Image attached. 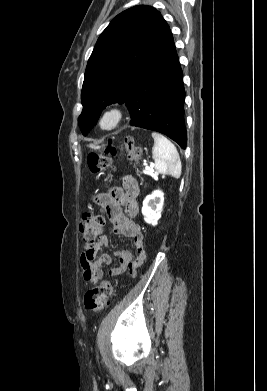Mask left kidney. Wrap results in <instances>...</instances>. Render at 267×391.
<instances>
[{"instance_id": "left-kidney-1", "label": "left kidney", "mask_w": 267, "mask_h": 391, "mask_svg": "<svg viewBox=\"0 0 267 391\" xmlns=\"http://www.w3.org/2000/svg\"><path fill=\"white\" fill-rule=\"evenodd\" d=\"M163 203V193L159 190L154 191L151 195H148L144 199L142 214L144 215V220L147 223H151L153 225L157 224V221L161 217Z\"/></svg>"}]
</instances>
